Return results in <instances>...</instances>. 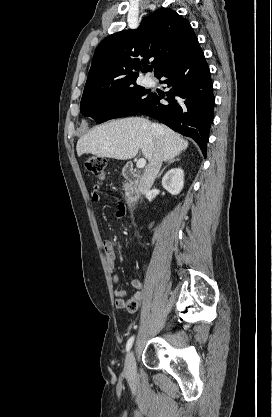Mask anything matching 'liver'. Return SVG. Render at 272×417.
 Here are the masks:
<instances>
[{
    "mask_svg": "<svg viewBox=\"0 0 272 417\" xmlns=\"http://www.w3.org/2000/svg\"><path fill=\"white\" fill-rule=\"evenodd\" d=\"M163 140V160L178 156L188 147V141L170 128L159 125ZM156 134L152 123L141 117H130L110 121L91 129L77 142V155L85 153L99 157L127 160L142 150L143 156L150 162L156 147Z\"/></svg>",
    "mask_w": 272,
    "mask_h": 417,
    "instance_id": "6515ba94",
    "label": "liver"
}]
</instances>
